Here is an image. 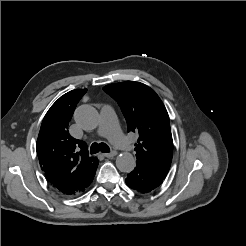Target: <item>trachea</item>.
I'll return each instance as SVG.
<instances>
[{
    "label": "trachea",
    "instance_id": "3493384b",
    "mask_svg": "<svg viewBox=\"0 0 246 246\" xmlns=\"http://www.w3.org/2000/svg\"><path fill=\"white\" fill-rule=\"evenodd\" d=\"M103 152V153H109L110 148L107 144L105 143H93L90 147V153L91 154H96L98 152Z\"/></svg>",
    "mask_w": 246,
    "mask_h": 246
}]
</instances>
